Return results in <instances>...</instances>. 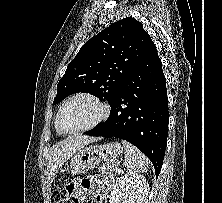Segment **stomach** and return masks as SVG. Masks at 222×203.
<instances>
[{"mask_svg": "<svg viewBox=\"0 0 222 203\" xmlns=\"http://www.w3.org/2000/svg\"><path fill=\"white\" fill-rule=\"evenodd\" d=\"M122 153L123 148L118 142L86 146L72 156L70 172L73 175L85 173L100 161L115 160Z\"/></svg>", "mask_w": 222, "mask_h": 203, "instance_id": "stomach-1", "label": "stomach"}]
</instances>
